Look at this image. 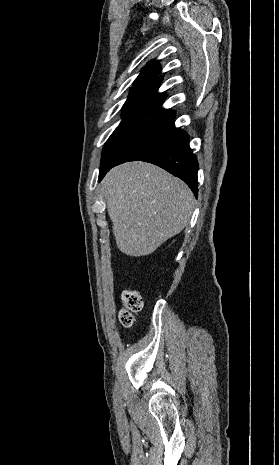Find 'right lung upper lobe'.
Segmentation results:
<instances>
[{
  "label": "right lung upper lobe",
  "instance_id": "right-lung-upper-lobe-1",
  "mask_svg": "<svg viewBox=\"0 0 279 465\" xmlns=\"http://www.w3.org/2000/svg\"><path fill=\"white\" fill-rule=\"evenodd\" d=\"M160 73L157 61L148 63L142 69L123 105L120 125L143 123L174 126L175 113L161 107L165 95L157 92L162 79L157 76Z\"/></svg>",
  "mask_w": 279,
  "mask_h": 465
}]
</instances>
